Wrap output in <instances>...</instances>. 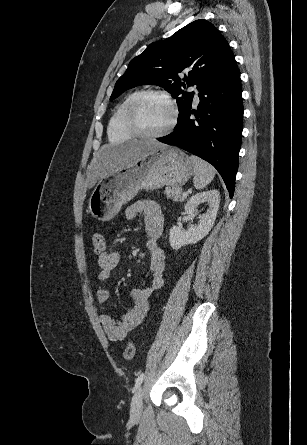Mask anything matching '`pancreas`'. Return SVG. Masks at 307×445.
I'll use <instances>...</instances> for the list:
<instances>
[{
	"label": "pancreas",
	"mask_w": 307,
	"mask_h": 445,
	"mask_svg": "<svg viewBox=\"0 0 307 445\" xmlns=\"http://www.w3.org/2000/svg\"><path fill=\"white\" fill-rule=\"evenodd\" d=\"M181 186H166L164 192L167 194V198H172V200H176V202H183L185 196L181 194Z\"/></svg>",
	"instance_id": "1"
}]
</instances>
